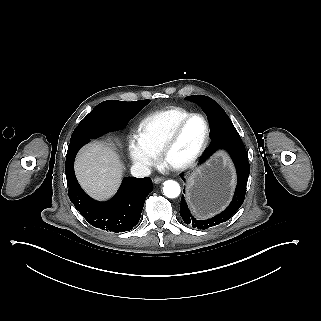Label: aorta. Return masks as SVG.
I'll list each match as a JSON object with an SVG mask.
<instances>
[{
    "label": "aorta",
    "mask_w": 321,
    "mask_h": 321,
    "mask_svg": "<svg viewBox=\"0 0 321 321\" xmlns=\"http://www.w3.org/2000/svg\"><path fill=\"white\" fill-rule=\"evenodd\" d=\"M180 185L173 180H167L164 182L163 193L168 198H176L180 195Z\"/></svg>",
    "instance_id": "aorta-1"
}]
</instances>
